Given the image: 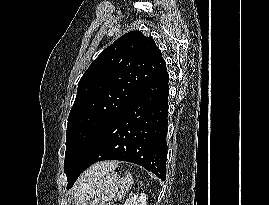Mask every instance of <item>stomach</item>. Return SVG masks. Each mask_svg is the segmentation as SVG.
I'll list each match as a JSON object with an SVG mask.
<instances>
[{"label":"stomach","instance_id":"0dacf381","mask_svg":"<svg viewBox=\"0 0 269 205\" xmlns=\"http://www.w3.org/2000/svg\"><path fill=\"white\" fill-rule=\"evenodd\" d=\"M120 182V176L116 172L104 174L83 196H77L76 205H108L111 200L120 199L124 194V191L119 189Z\"/></svg>","mask_w":269,"mask_h":205}]
</instances>
